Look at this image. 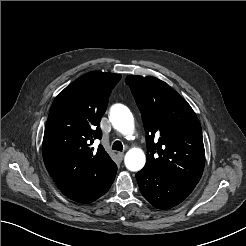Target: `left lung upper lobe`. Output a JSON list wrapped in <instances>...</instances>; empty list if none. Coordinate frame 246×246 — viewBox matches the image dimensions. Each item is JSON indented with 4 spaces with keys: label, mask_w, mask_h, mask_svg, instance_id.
Returning a JSON list of instances; mask_svg holds the SVG:
<instances>
[{
    "label": "left lung upper lobe",
    "mask_w": 246,
    "mask_h": 246,
    "mask_svg": "<svg viewBox=\"0 0 246 246\" xmlns=\"http://www.w3.org/2000/svg\"><path fill=\"white\" fill-rule=\"evenodd\" d=\"M126 83L146 131L147 157L142 170L197 184L204 170L205 150L201 125L190 105L157 78L129 75Z\"/></svg>",
    "instance_id": "1"
}]
</instances>
